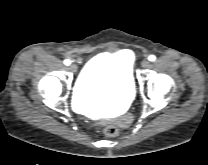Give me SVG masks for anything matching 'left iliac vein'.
<instances>
[{
    "label": "left iliac vein",
    "mask_w": 208,
    "mask_h": 165,
    "mask_svg": "<svg viewBox=\"0 0 208 165\" xmlns=\"http://www.w3.org/2000/svg\"><path fill=\"white\" fill-rule=\"evenodd\" d=\"M149 65H150V62H149L148 59H144V60L142 61V63H141V66H142L143 68H148Z\"/></svg>",
    "instance_id": "obj_1"
}]
</instances>
